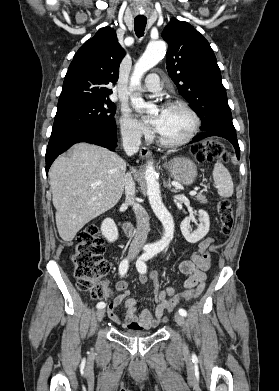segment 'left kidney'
<instances>
[{"instance_id":"1","label":"left kidney","mask_w":279,"mask_h":391,"mask_svg":"<svg viewBox=\"0 0 279 391\" xmlns=\"http://www.w3.org/2000/svg\"><path fill=\"white\" fill-rule=\"evenodd\" d=\"M191 217H186L180 224V229L182 232V235L186 239L187 242L189 243H197L200 241L203 237L207 235L209 232L210 228V219L209 215L206 211L203 209H200L198 211V220H199V225L198 227L194 230L193 233L189 231V223H190Z\"/></svg>"}]
</instances>
